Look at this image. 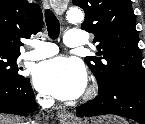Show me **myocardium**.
<instances>
[{
  "label": "myocardium",
  "mask_w": 145,
  "mask_h": 124,
  "mask_svg": "<svg viewBox=\"0 0 145 124\" xmlns=\"http://www.w3.org/2000/svg\"><path fill=\"white\" fill-rule=\"evenodd\" d=\"M97 91H98L97 85L91 84V85L87 88V91H86V93H85V97H86V98H92L93 96L96 95Z\"/></svg>",
  "instance_id": "f54148a6"
}]
</instances>
